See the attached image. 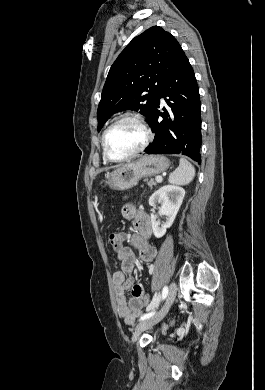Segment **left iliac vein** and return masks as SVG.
I'll return each mask as SVG.
<instances>
[{
  "label": "left iliac vein",
  "instance_id": "obj_1",
  "mask_svg": "<svg viewBox=\"0 0 265 390\" xmlns=\"http://www.w3.org/2000/svg\"><path fill=\"white\" fill-rule=\"evenodd\" d=\"M176 294H177V285L175 282H173V283H171V285L169 287L166 302H165L164 306L160 309V311H158L155 315L151 316L150 318L145 319L144 321L140 322L135 327L134 332H133V340L134 341L138 339L139 335L144 330L157 324L165 317V315L167 314L170 306L172 305V303L176 297Z\"/></svg>",
  "mask_w": 265,
  "mask_h": 390
}]
</instances>
